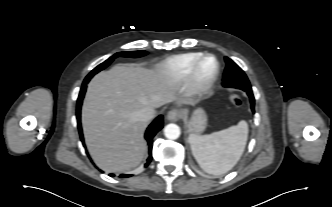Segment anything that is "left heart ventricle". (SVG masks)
<instances>
[{"instance_id": "obj_1", "label": "left heart ventricle", "mask_w": 332, "mask_h": 207, "mask_svg": "<svg viewBox=\"0 0 332 207\" xmlns=\"http://www.w3.org/2000/svg\"><path fill=\"white\" fill-rule=\"evenodd\" d=\"M213 70H214V61L210 58L205 59L199 68V75L201 78L206 79L211 75Z\"/></svg>"}]
</instances>
